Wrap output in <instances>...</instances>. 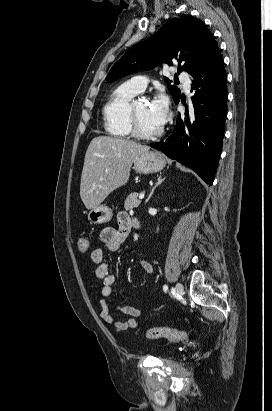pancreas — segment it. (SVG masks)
I'll list each match as a JSON object with an SVG mask.
<instances>
[{"label": "pancreas", "instance_id": "pancreas-1", "mask_svg": "<svg viewBox=\"0 0 272 411\" xmlns=\"http://www.w3.org/2000/svg\"><path fill=\"white\" fill-rule=\"evenodd\" d=\"M139 193L133 192L128 195V197L125 200L124 208L125 210H131L133 208H136L140 204V200H138Z\"/></svg>", "mask_w": 272, "mask_h": 411}]
</instances>
